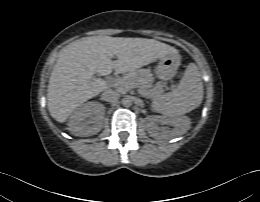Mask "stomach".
<instances>
[{
	"mask_svg": "<svg viewBox=\"0 0 260 202\" xmlns=\"http://www.w3.org/2000/svg\"><path fill=\"white\" fill-rule=\"evenodd\" d=\"M179 64L180 60L178 55L175 53L167 54L159 58L155 73L159 79L169 80L175 75Z\"/></svg>",
	"mask_w": 260,
	"mask_h": 202,
	"instance_id": "obj_1",
	"label": "stomach"
}]
</instances>
